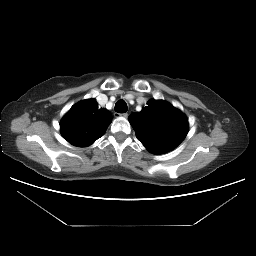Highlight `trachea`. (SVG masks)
Wrapping results in <instances>:
<instances>
[{
    "mask_svg": "<svg viewBox=\"0 0 256 256\" xmlns=\"http://www.w3.org/2000/svg\"><path fill=\"white\" fill-rule=\"evenodd\" d=\"M128 110L127 104L124 100H119L115 104V111L117 113H126Z\"/></svg>",
    "mask_w": 256,
    "mask_h": 256,
    "instance_id": "trachea-1",
    "label": "trachea"
}]
</instances>
